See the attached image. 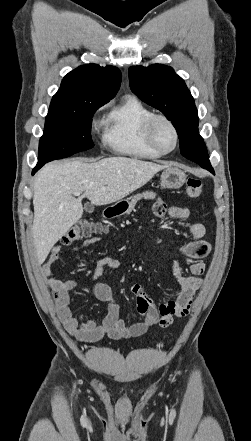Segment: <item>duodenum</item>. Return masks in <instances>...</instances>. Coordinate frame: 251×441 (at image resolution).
<instances>
[{
  "label": "duodenum",
  "instance_id": "410a0bca",
  "mask_svg": "<svg viewBox=\"0 0 251 441\" xmlns=\"http://www.w3.org/2000/svg\"><path fill=\"white\" fill-rule=\"evenodd\" d=\"M118 214H119V211H118V209L116 207L108 208L105 211V216L108 217V218L114 217V216H116Z\"/></svg>",
  "mask_w": 251,
  "mask_h": 441
}]
</instances>
